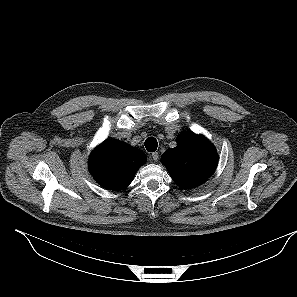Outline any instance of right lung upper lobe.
<instances>
[{
	"label": "right lung upper lobe",
	"mask_w": 297,
	"mask_h": 297,
	"mask_svg": "<svg viewBox=\"0 0 297 297\" xmlns=\"http://www.w3.org/2000/svg\"><path fill=\"white\" fill-rule=\"evenodd\" d=\"M146 155L136 147L118 140H106L89 157V170L94 179L109 190H123L145 164Z\"/></svg>",
	"instance_id": "1"
}]
</instances>
